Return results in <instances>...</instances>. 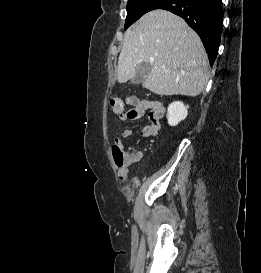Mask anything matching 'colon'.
I'll return each instance as SVG.
<instances>
[{"label": "colon", "mask_w": 261, "mask_h": 273, "mask_svg": "<svg viewBox=\"0 0 261 273\" xmlns=\"http://www.w3.org/2000/svg\"><path fill=\"white\" fill-rule=\"evenodd\" d=\"M127 105H132L125 113L130 120L138 119L143 113V107L140 101L134 98H114L111 101V107L114 113L120 114L125 111ZM113 160L118 167H124L127 163V158L125 152L123 151L121 145L116 143L112 147Z\"/></svg>", "instance_id": "1"}]
</instances>
